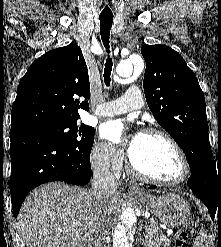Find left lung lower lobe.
I'll use <instances>...</instances> for the list:
<instances>
[{
  "mask_svg": "<svg viewBox=\"0 0 221 247\" xmlns=\"http://www.w3.org/2000/svg\"><path fill=\"white\" fill-rule=\"evenodd\" d=\"M187 186L201 199L210 212L212 220L221 211V164L214 161L213 156L206 157L195 168L191 169V176ZM156 186H150L154 189Z\"/></svg>",
  "mask_w": 221,
  "mask_h": 247,
  "instance_id": "obj_1",
  "label": "left lung lower lobe"
}]
</instances>
